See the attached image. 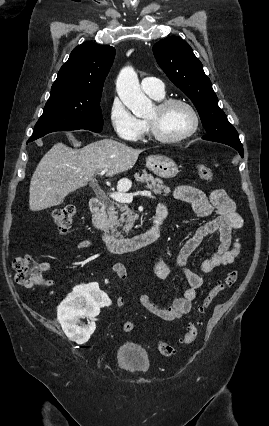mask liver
Returning a JSON list of instances; mask_svg holds the SVG:
<instances>
[{
  "label": "liver",
  "instance_id": "1",
  "mask_svg": "<svg viewBox=\"0 0 269 426\" xmlns=\"http://www.w3.org/2000/svg\"><path fill=\"white\" fill-rule=\"evenodd\" d=\"M140 154L124 143L103 139L81 149L56 143L42 157L30 181L29 208L45 210L63 203L65 197L93 180L95 174L107 170L106 176L125 172Z\"/></svg>",
  "mask_w": 269,
  "mask_h": 426
}]
</instances>
